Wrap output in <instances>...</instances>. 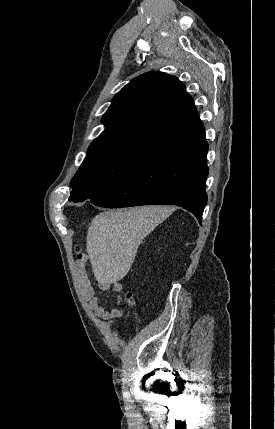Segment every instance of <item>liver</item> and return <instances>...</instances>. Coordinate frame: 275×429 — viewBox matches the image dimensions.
I'll return each mask as SVG.
<instances>
[{
	"mask_svg": "<svg viewBox=\"0 0 275 429\" xmlns=\"http://www.w3.org/2000/svg\"><path fill=\"white\" fill-rule=\"evenodd\" d=\"M169 213V207L143 206L109 210L93 218L86 246L94 276L103 288L126 276L142 239Z\"/></svg>",
	"mask_w": 275,
	"mask_h": 429,
	"instance_id": "obj_1",
	"label": "liver"
}]
</instances>
